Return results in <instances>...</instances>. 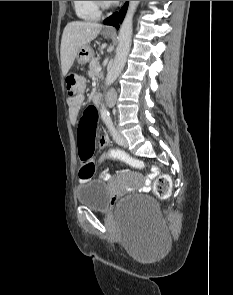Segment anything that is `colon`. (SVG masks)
Instances as JSON below:
<instances>
[{"label":"colon","instance_id":"1","mask_svg":"<svg viewBox=\"0 0 233 295\" xmlns=\"http://www.w3.org/2000/svg\"><path fill=\"white\" fill-rule=\"evenodd\" d=\"M66 91L69 98H76L83 95L85 90V80L76 73H69L65 78ZM95 130L96 115L94 112L87 111L82 117L79 124V155L81 166L79 177L87 180L93 177L96 171V163L93 160L95 149ZM119 161L133 168H142L143 162L133 158L119 149L108 151L101 161ZM172 181L168 175L159 176L153 184V193L159 199L170 197Z\"/></svg>","mask_w":233,"mask_h":295}]
</instances>
